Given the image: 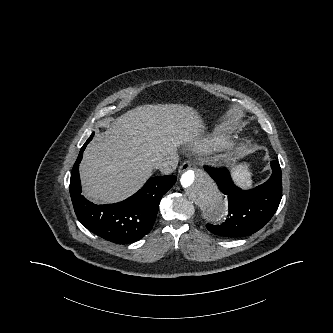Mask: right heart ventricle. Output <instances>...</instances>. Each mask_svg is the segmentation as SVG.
<instances>
[{"label": "right heart ventricle", "instance_id": "right-heart-ventricle-1", "mask_svg": "<svg viewBox=\"0 0 333 333\" xmlns=\"http://www.w3.org/2000/svg\"><path fill=\"white\" fill-rule=\"evenodd\" d=\"M210 145H211V143L205 141V142L196 144V148L203 150V149L208 148Z\"/></svg>", "mask_w": 333, "mask_h": 333}]
</instances>
